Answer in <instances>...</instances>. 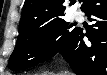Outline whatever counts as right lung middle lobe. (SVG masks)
<instances>
[{"mask_svg": "<svg viewBox=\"0 0 107 75\" xmlns=\"http://www.w3.org/2000/svg\"><path fill=\"white\" fill-rule=\"evenodd\" d=\"M59 18L39 26L20 25L16 47L10 57V69L33 67L51 59L67 45L78 28Z\"/></svg>", "mask_w": 107, "mask_h": 75, "instance_id": "obj_1", "label": "right lung middle lobe"}]
</instances>
